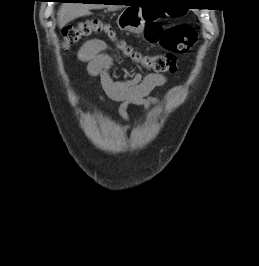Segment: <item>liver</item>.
<instances>
[{"label": "liver", "instance_id": "1", "mask_svg": "<svg viewBox=\"0 0 259 266\" xmlns=\"http://www.w3.org/2000/svg\"><path fill=\"white\" fill-rule=\"evenodd\" d=\"M98 8L97 4L64 3L58 11V25L63 28L70 21L90 15V10Z\"/></svg>", "mask_w": 259, "mask_h": 266}]
</instances>
